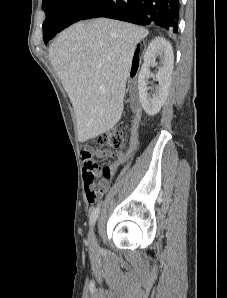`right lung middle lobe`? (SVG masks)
Returning <instances> with one entry per match:
<instances>
[{
	"instance_id": "obj_1",
	"label": "right lung middle lobe",
	"mask_w": 227,
	"mask_h": 298,
	"mask_svg": "<svg viewBox=\"0 0 227 298\" xmlns=\"http://www.w3.org/2000/svg\"><path fill=\"white\" fill-rule=\"evenodd\" d=\"M100 0H43L46 13L43 39L48 42L56 33L81 20Z\"/></svg>"
}]
</instances>
